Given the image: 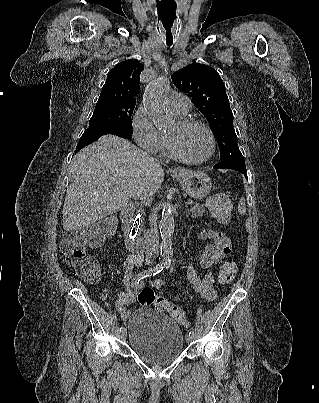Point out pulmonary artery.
I'll list each match as a JSON object with an SVG mask.
<instances>
[{
	"label": "pulmonary artery",
	"mask_w": 319,
	"mask_h": 403,
	"mask_svg": "<svg viewBox=\"0 0 319 403\" xmlns=\"http://www.w3.org/2000/svg\"><path fill=\"white\" fill-rule=\"evenodd\" d=\"M190 105L191 104L189 98L183 94L173 93L170 96L169 107L176 114H186L190 109Z\"/></svg>",
	"instance_id": "e3ab8cb5"
}]
</instances>
